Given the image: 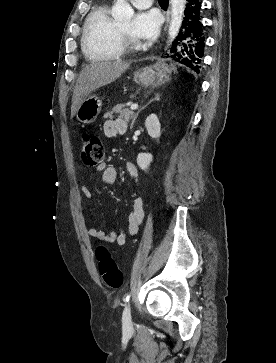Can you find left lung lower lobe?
Wrapping results in <instances>:
<instances>
[{
    "instance_id": "1",
    "label": "left lung lower lobe",
    "mask_w": 276,
    "mask_h": 363,
    "mask_svg": "<svg viewBox=\"0 0 276 363\" xmlns=\"http://www.w3.org/2000/svg\"><path fill=\"white\" fill-rule=\"evenodd\" d=\"M185 17L167 57L199 73L204 38L200 21L201 0H186Z\"/></svg>"
}]
</instances>
